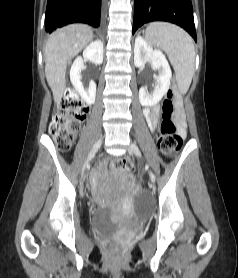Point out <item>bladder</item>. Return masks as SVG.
<instances>
[{
    "label": "bladder",
    "mask_w": 238,
    "mask_h": 278,
    "mask_svg": "<svg viewBox=\"0 0 238 278\" xmlns=\"http://www.w3.org/2000/svg\"><path fill=\"white\" fill-rule=\"evenodd\" d=\"M90 228L99 234L108 235L116 230L117 224L107 211L98 210L90 217Z\"/></svg>",
    "instance_id": "obj_1"
}]
</instances>
